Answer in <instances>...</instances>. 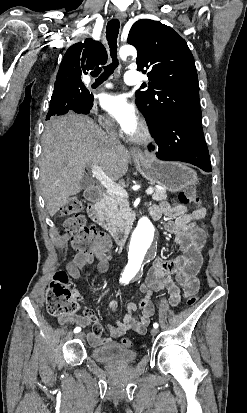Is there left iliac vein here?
<instances>
[{
  "instance_id": "1",
  "label": "left iliac vein",
  "mask_w": 247,
  "mask_h": 413,
  "mask_svg": "<svg viewBox=\"0 0 247 413\" xmlns=\"http://www.w3.org/2000/svg\"><path fill=\"white\" fill-rule=\"evenodd\" d=\"M158 332H159V330L157 328H153L150 333H151L152 336H155V335L158 334Z\"/></svg>"
}]
</instances>
